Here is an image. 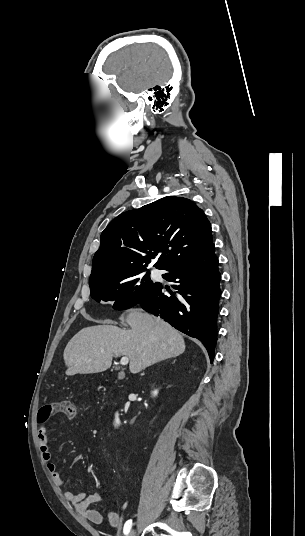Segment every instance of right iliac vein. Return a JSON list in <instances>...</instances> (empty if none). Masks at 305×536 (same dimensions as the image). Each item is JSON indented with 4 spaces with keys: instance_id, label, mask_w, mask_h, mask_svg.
Segmentation results:
<instances>
[{
    "instance_id": "right-iliac-vein-1",
    "label": "right iliac vein",
    "mask_w": 305,
    "mask_h": 536,
    "mask_svg": "<svg viewBox=\"0 0 305 536\" xmlns=\"http://www.w3.org/2000/svg\"><path fill=\"white\" fill-rule=\"evenodd\" d=\"M129 536H135V531L131 530L130 533H129Z\"/></svg>"
}]
</instances>
